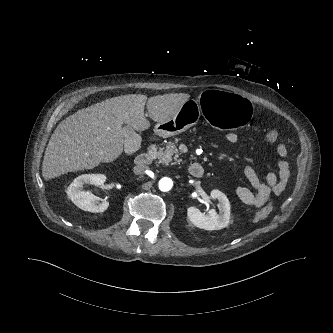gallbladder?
I'll return each instance as SVG.
<instances>
[{
  "label": "gallbladder",
  "instance_id": "bac80fb5",
  "mask_svg": "<svg viewBox=\"0 0 333 333\" xmlns=\"http://www.w3.org/2000/svg\"><path fill=\"white\" fill-rule=\"evenodd\" d=\"M123 131L125 135L126 148L133 146L135 150L139 149L141 138L138 134H136L133 128L130 126H126L124 127Z\"/></svg>",
  "mask_w": 333,
  "mask_h": 333
}]
</instances>
